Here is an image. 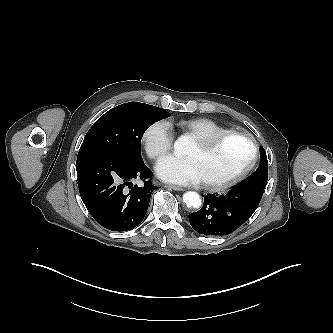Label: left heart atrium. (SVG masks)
<instances>
[{
	"mask_svg": "<svg viewBox=\"0 0 333 333\" xmlns=\"http://www.w3.org/2000/svg\"><path fill=\"white\" fill-rule=\"evenodd\" d=\"M156 171L163 180L181 185H196L203 181L198 165L190 157H164L158 162Z\"/></svg>",
	"mask_w": 333,
	"mask_h": 333,
	"instance_id": "1",
	"label": "left heart atrium"
}]
</instances>
